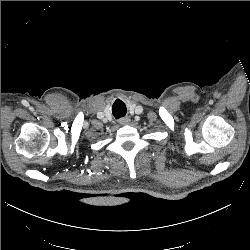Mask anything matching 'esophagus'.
I'll use <instances>...</instances> for the list:
<instances>
[{
    "label": "esophagus",
    "instance_id": "1",
    "mask_svg": "<svg viewBox=\"0 0 250 250\" xmlns=\"http://www.w3.org/2000/svg\"><path fill=\"white\" fill-rule=\"evenodd\" d=\"M129 121H130L129 118H123V119L120 120V123H121V124H126V123H128Z\"/></svg>",
    "mask_w": 250,
    "mask_h": 250
}]
</instances>
